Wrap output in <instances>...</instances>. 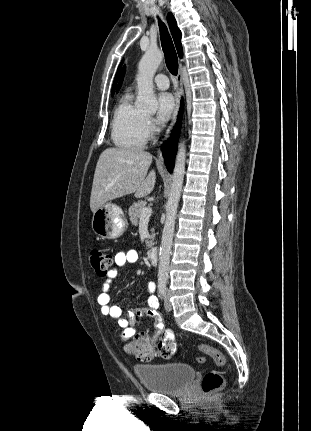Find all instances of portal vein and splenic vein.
<instances>
[{"label":"portal vein and splenic vein","mask_w":311,"mask_h":431,"mask_svg":"<svg viewBox=\"0 0 311 431\" xmlns=\"http://www.w3.org/2000/svg\"><path fill=\"white\" fill-rule=\"evenodd\" d=\"M149 216H152V208H143L141 217H149Z\"/></svg>","instance_id":"18ae733b"}]
</instances>
